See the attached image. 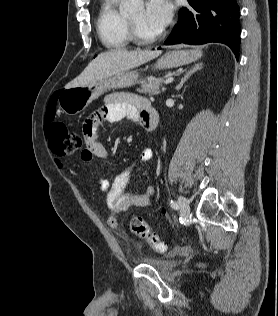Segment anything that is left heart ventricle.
Wrapping results in <instances>:
<instances>
[{
  "label": "left heart ventricle",
  "instance_id": "1",
  "mask_svg": "<svg viewBox=\"0 0 278 316\" xmlns=\"http://www.w3.org/2000/svg\"><path fill=\"white\" fill-rule=\"evenodd\" d=\"M129 18L137 25L141 33L145 36H153L159 32L146 23L145 10L143 8H140L137 12L130 15Z\"/></svg>",
  "mask_w": 278,
  "mask_h": 316
}]
</instances>
